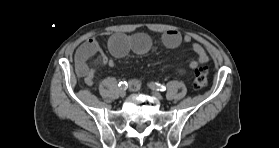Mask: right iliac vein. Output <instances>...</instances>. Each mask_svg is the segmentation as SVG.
I'll use <instances>...</instances> for the list:
<instances>
[{"instance_id":"1","label":"right iliac vein","mask_w":279,"mask_h":148,"mask_svg":"<svg viewBox=\"0 0 279 148\" xmlns=\"http://www.w3.org/2000/svg\"><path fill=\"white\" fill-rule=\"evenodd\" d=\"M119 95H120L121 97H125L126 91H125L124 89H121V90L119 91Z\"/></svg>"}]
</instances>
